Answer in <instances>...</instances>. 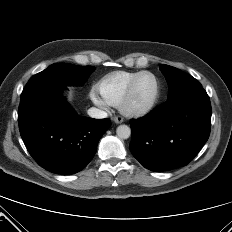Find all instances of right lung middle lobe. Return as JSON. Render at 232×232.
I'll use <instances>...</instances> for the list:
<instances>
[{"label":"right lung middle lobe","instance_id":"right-lung-middle-lobe-1","mask_svg":"<svg viewBox=\"0 0 232 232\" xmlns=\"http://www.w3.org/2000/svg\"><path fill=\"white\" fill-rule=\"evenodd\" d=\"M93 70L94 67L92 66H76L65 63L52 64L30 78L21 96H26L44 87L82 85Z\"/></svg>","mask_w":232,"mask_h":232}]
</instances>
